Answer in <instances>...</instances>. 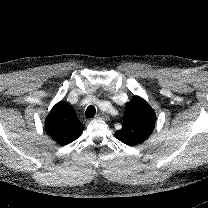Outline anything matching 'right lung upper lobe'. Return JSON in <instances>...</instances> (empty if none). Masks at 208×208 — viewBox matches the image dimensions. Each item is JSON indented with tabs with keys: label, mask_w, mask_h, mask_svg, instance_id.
<instances>
[{
	"label": "right lung upper lobe",
	"mask_w": 208,
	"mask_h": 208,
	"mask_svg": "<svg viewBox=\"0 0 208 208\" xmlns=\"http://www.w3.org/2000/svg\"><path fill=\"white\" fill-rule=\"evenodd\" d=\"M46 132L61 145L76 140L83 131L73 108L67 102H58L50 111L45 120Z\"/></svg>",
	"instance_id": "cb5924a9"
}]
</instances>
